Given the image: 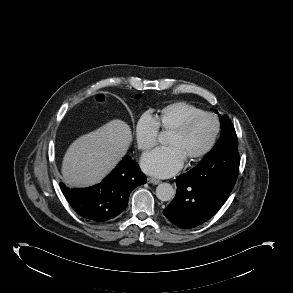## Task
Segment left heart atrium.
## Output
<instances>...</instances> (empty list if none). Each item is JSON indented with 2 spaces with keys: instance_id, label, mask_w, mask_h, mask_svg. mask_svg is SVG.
<instances>
[{
  "instance_id": "left-heart-atrium-1",
  "label": "left heart atrium",
  "mask_w": 293,
  "mask_h": 293,
  "mask_svg": "<svg viewBox=\"0 0 293 293\" xmlns=\"http://www.w3.org/2000/svg\"><path fill=\"white\" fill-rule=\"evenodd\" d=\"M181 152L173 146L158 148L143 156L142 169L155 177L166 178L176 174L184 165Z\"/></svg>"
}]
</instances>
